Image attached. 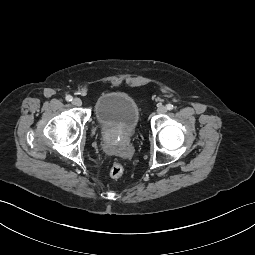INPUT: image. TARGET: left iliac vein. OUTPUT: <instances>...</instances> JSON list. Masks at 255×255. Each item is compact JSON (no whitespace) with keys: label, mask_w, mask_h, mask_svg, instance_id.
Listing matches in <instances>:
<instances>
[{"label":"left iliac vein","mask_w":255,"mask_h":255,"mask_svg":"<svg viewBox=\"0 0 255 255\" xmlns=\"http://www.w3.org/2000/svg\"><path fill=\"white\" fill-rule=\"evenodd\" d=\"M157 112L159 114H165L167 112V108L165 106H160L158 109H157Z\"/></svg>","instance_id":"1"}]
</instances>
